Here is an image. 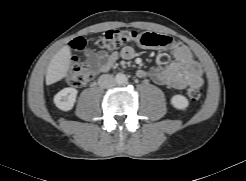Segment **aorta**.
Here are the masks:
<instances>
[{"instance_id":"obj_1","label":"aorta","mask_w":246,"mask_h":181,"mask_svg":"<svg viewBox=\"0 0 246 181\" xmlns=\"http://www.w3.org/2000/svg\"><path fill=\"white\" fill-rule=\"evenodd\" d=\"M115 80H116V83L117 84H120V85H123L125 83H127V77L125 74L123 73H118L116 76H115Z\"/></svg>"}]
</instances>
